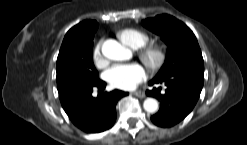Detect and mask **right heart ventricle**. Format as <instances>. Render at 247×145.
<instances>
[{"label": "right heart ventricle", "instance_id": "e07e8e85", "mask_svg": "<svg viewBox=\"0 0 247 145\" xmlns=\"http://www.w3.org/2000/svg\"><path fill=\"white\" fill-rule=\"evenodd\" d=\"M118 37L126 45L132 48H139L148 41V35L140 30L127 28L118 32Z\"/></svg>", "mask_w": 247, "mask_h": 145}]
</instances>
